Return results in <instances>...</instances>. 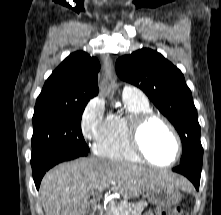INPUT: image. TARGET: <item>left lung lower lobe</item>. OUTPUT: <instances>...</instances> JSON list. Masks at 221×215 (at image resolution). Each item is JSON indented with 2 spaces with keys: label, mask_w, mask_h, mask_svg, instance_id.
<instances>
[{
  "label": "left lung lower lobe",
  "mask_w": 221,
  "mask_h": 215,
  "mask_svg": "<svg viewBox=\"0 0 221 215\" xmlns=\"http://www.w3.org/2000/svg\"><path fill=\"white\" fill-rule=\"evenodd\" d=\"M202 163L188 162L173 168L174 172L186 176L199 189Z\"/></svg>",
  "instance_id": "obj_1"
}]
</instances>
